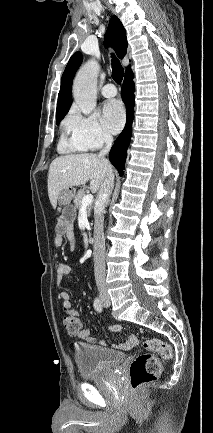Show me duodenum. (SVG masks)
I'll use <instances>...</instances> for the list:
<instances>
[{"label": "duodenum", "instance_id": "obj_1", "mask_svg": "<svg viewBox=\"0 0 213 433\" xmlns=\"http://www.w3.org/2000/svg\"><path fill=\"white\" fill-rule=\"evenodd\" d=\"M88 240H89L90 244H94L95 243V237L93 235H90L89 238H88Z\"/></svg>", "mask_w": 213, "mask_h": 433}]
</instances>
